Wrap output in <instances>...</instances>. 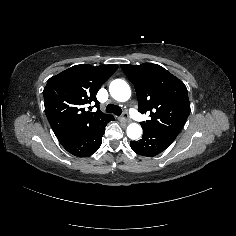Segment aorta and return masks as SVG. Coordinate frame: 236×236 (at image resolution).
I'll list each match as a JSON object with an SVG mask.
<instances>
[{"mask_svg":"<svg viewBox=\"0 0 236 236\" xmlns=\"http://www.w3.org/2000/svg\"><path fill=\"white\" fill-rule=\"evenodd\" d=\"M109 92L111 96L119 101L125 102L129 100L131 96V89L129 85L124 80H118L116 82H111L109 86ZM127 136L132 140H137L142 135V128L137 123H131L127 127Z\"/></svg>","mask_w":236,"mask_h":236,"instance_id":"1","label":"aorta"}]
</instances>
